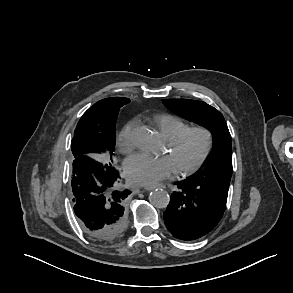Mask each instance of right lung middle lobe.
Masks as SVG:
<instances>
[{
  "mask_svg": "<svg viewBox=\"0 0 293 293\" xmlns=\"http://www.w3.org/2000/svg\"><path fill=\"white\" fill-rule=\"evenodd\" d=\"M123 105L124 102L114 104L106 107L100 116L92 115L84 120L80 119L71 143L74 157L82 153H95L96 160L105 167H114L115 124Z\"/></svg>",
  "mask_w": 293,
  "mask_h": 293,
  "instance_id": "dd1d6c3e",
  "label": "right lung middle lobe"
}]
</instances>
